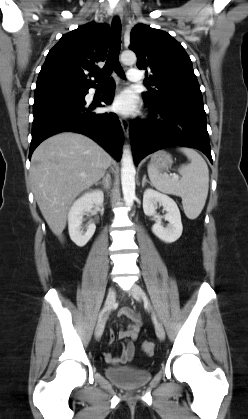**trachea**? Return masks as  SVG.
I'll list each match as a JSON object with an SVG mask.
<instances>
[{"instance_id":"trachea-1","label":"trachea","mask_w":248,"mask_h":419,"mask_svg":"<svg viewBox=\"0 0 248 419\" xmlns=\"http://www.w3.org/2000/svg\"><path fill=\"white\" fill-rule=\"evenodd\" d=\"M121 48V23L118 17H115L111 25V38L108 57L102 70L98 71L96 75L100 77V82H106L113 72L124 78V71L119 63V53Z\"/></svg>"}]
</instances>
